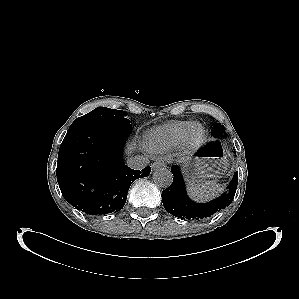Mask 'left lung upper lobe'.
I'll return each instance as SVG.
<instances>
[{
  "label": "left lung upper lobe",
  "mask_w": 299,
  "mask_h": 299,
  "mask_svg": "<svg viewBox=\"0 0 299 299\" xmlns=\"http://www.w3.org/2000/svg\"><path fill=\"white\" fill-rule=\"evenodd\" d=\"M225 131V128L223 125H221L220 123L216 124L212 130L211 133L212 135H214L215 137H222L223 133Z\"/></svg>",
  "instance_id": "1"
}]
</instances>
